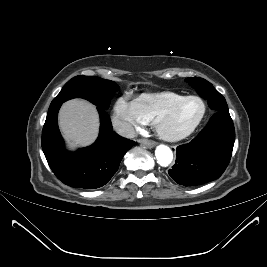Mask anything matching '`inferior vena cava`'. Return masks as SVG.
<instances>
[{
	"instance_id": "602c4592",
	"label": "inferior vena cava",
	"mask_w": 267,
	"mask_h": 267,
	"mask_svg": "<svg viewBox=\"0 0 267 267\" xmlns=\"http://www.w3.org/2000/svg\"><path fill=\"white\" fill-rule=\"evenodd\" d=\"M113 127L115 131L123 137L134 138L136 136L134 127L128 122L117 120L114 121Z\"/></svg>"
}]
</instances>
